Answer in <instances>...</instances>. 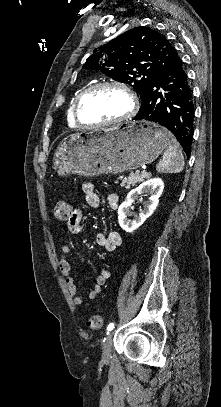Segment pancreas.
Returning <instances> with one entry per match:
<instances>
[{
  "label": "pancreas",
  "instance_id": "pancreas-1",
  "mask_svg": "<svg viewBox=\"0 0 221 407\" xmlns=\"http://www.w3.org/2000/svg\"><path fill=\"white\" fill-rule=\"evenodd\" d=\"M149 176V174L131 173L127 178L120 177L119 179L122 181L121 186L129 189L131 186H135L137 183L142 182L144 178ZM115 183L117 184L118 181H116Z\"/></svg>",
  "mask_w": 221,
  "mask_h": 407
}]
</instances>
